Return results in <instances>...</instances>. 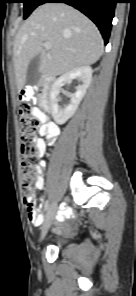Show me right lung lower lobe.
I'll use <instances>...</instances> for the list:
<instances>
[{"label": "right lung lower lobe", "instance_id": "right-lung-lower-lobe-1", "mask_svg": "<svg viewBox=\"0 0 136 296\" xmlns=\"http://www.w3.org/2000/svg\"><path fill=\"white\" fill-rule=\"evenodd\" d=\"M44 3H66L89 17L99 28L108 43L115 5L118 0H43Z\"/></svg>", "mask_w": 136, "mask_h": 296}]
</instances>
